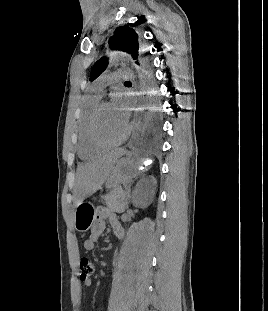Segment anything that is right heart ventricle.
<instances>
[{"mask_svg": "<svg viewBox=\"0 0 268 311\" xmlns=\"http://www.w3.org/2000/svg\"><path fill=\"white\" fill-rule=\"evenodd\" d=\"M100 97L91 95L85 98L78 117V155L83 160L97 157L104 149L95 146L90 138L89 123L91 115L98 105Z\"/></svg>", "mask_w": 268, "mask_h": 311, "instance_id": "obj_1", "label": "right heart ventricle"}]
</instances>
